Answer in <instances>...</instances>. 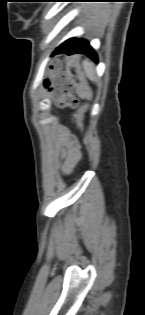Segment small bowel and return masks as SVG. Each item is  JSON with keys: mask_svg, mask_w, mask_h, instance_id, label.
I'll return each instance as SVG.
<instances>
[{"mask_svg": "<svg viewBox=\"0 0 145 315\" xmlns=\"http://www.w3.org/2000/svg\"><path fill=\"white\" fill-rule=\"evenodd\" d=\"M60 135L66 147V156L63 163L64 172L68 173L80 159V150L76 138L66 129L60 130Z\"/></svg>", "mask_w": 145, "mask_h": 315, "instance_id": "1", "label": "small bowel"}]
</instances>
